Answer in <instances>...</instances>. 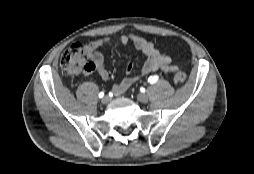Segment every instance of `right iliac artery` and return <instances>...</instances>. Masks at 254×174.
Masks as SVG:
<instances>
[{
	"label": "right iliac artery",
	"instance_id": "obj_1",
	"mask_svg": "<svg viewBox=\"0 0 254 174\" xmlns=\"http://www.w3.org/2000/svg\"><path fill=\"white\" fill-rule=\"evenodd\" d=\"M100 98H102L104 96V93L103 92H100L99 95H98Z\"/></svg>",
	"mask_w": 254,
	"mask_h": 174
}]
</instances>
